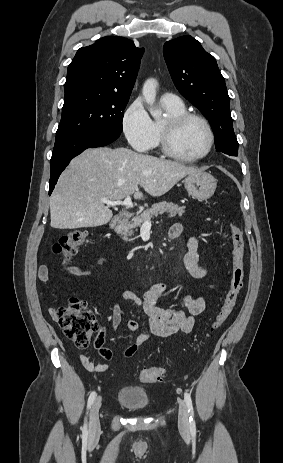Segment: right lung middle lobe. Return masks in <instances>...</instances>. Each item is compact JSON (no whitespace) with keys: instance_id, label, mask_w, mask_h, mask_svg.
Listing matches in <instances>:
<instances>
[{"instance_id":"1","label":"right lung middle lobe","mask_w":283,"mask_h":463,"mask_svg":"<svg viewBox=\"0 0 283 463\" xmlns=\"http://www.w3.org/2000/svg\"><path fill=\"white\" fill-rule=\"evenodd\" d=\"M129 98L77 92L65 98L56 139L86 131L120 135Z\"/></svg>"}]
</instances>
